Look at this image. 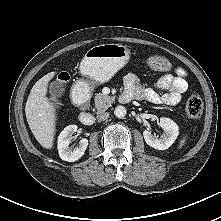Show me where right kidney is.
I'll list each match as a JSON object with an SVG mask.
<instances>
[{"label": "right kidney", "mask_w": 221, "mask_h": 221, "mask_svg": "<svg viewBox=\"0 0 221 221\" xmlns=\"http://www.w3.org/2000/svg\"><path fill=\"white\" fill-rule=\"evenodd\" d=\"M77 129V125H69L64 128L58 137V152L60 158L64 161L75 162L79 160L87 149L88 140L86 138L80 140L79 146L76 149L72 150L69 148L72 135L77 131Z\"/></svg>", "instance_id": "right-kidney-1"}]
</instances>
